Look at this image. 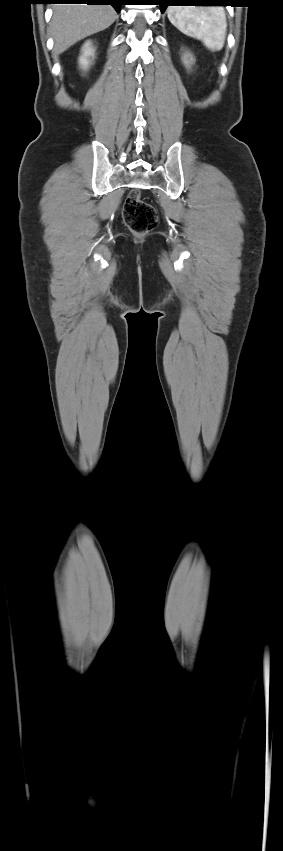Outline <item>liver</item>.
I'll return each instance as SVG.
<instances>
[{"instance_id": "obj_1", "label": "liver", "mask_w": 283, "mask_h": 851, "mask_svg": "<svg viewBox=\"0 0 283 851\" xmlns=\"http://www.w3.org/2000/svg\"><path fill=\"white\" fill-rule=\"evenodd\" d=\"M116 18L110 5H55L50 24L54 53L59 55L78 41L105 30Z\"/></svg>"}]
</instances>
